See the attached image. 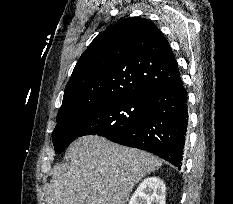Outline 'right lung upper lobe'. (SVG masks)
I'll list each match as a JSON object with an SVG mask.
<instances>
[{
  "label": "right lung upper lobe",
  "instance_id": "obj_1",
  "mask_svg": "<svg viewBox=\"0 0 233 204\" xmlns=\"http://www.w3.org/2000/svg\"><path fill=\"white\" fill-rule=\"evenodd\" d=\"M178 68L154 23L129 17L101 32L78 60L64 91L56 127L108 102L149 95Z\"/></svg>",
  "mask_w": 233,
  "mask_h": 204
}]
</instances>
